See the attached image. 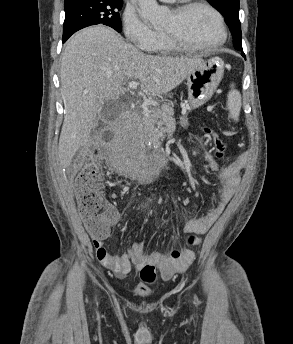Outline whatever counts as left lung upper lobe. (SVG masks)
<instances>
[{
    "instance_id": "1",
    "label": "left lung upper lobe",
    "mask_w": 293,
    "mask_h": 344,
    "mask_svg": "<svg viewBox=\"0 0 293 344\" xmlns=\"http://www.w3.org/2000/svg\"><path fill=\"white\" fill-rule=\"evenodd\" d=\"M226 20L233 36L235 48L242 51V33L239 20V0H207Z\"/></svg>"
}]
</instances>
